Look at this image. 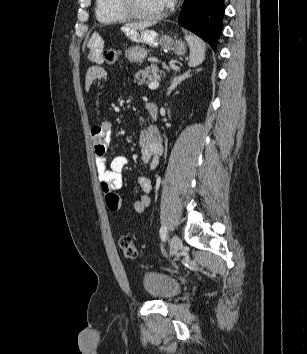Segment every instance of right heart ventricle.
<instances>
[{"instance_id": "1", "label": "right heart ventricle", "mask_w": 307, "mask_h": 354, "mask_svg": "<svg viewBox=\"0 0 307 354\" xmlns=\"http://www.w3.org/2000/svg\"><path fill=\"white\" fill-rule=\"evenodd\" d=\"M95 16L96 19L103 24H114L127 20L117 9L115 0H96Z\"/></svg>"}]
</instances>
